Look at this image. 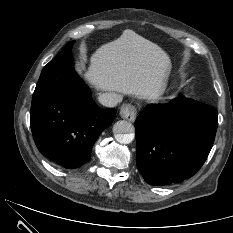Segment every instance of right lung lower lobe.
I'll list each match as a JSON object with an SVG mask.
<instances>
[{
  "label": "right lung lower lobe",
  "mask_w": 233,
  "mask_h": 233,
  "mask_svg": "<svg viewBox=\"0 0 233 233\" xmlns=\"http://www.w3.org/2000/svg\"><path fill=\"white\" fill-rule=\"evenodd\" d=\"M73 64L71 49H63L43 68L30 112L37 148L67 169L90 160L95 141L116 114L96 106Z\"/></svg>",
  "instance_id": "1"
}]
</instances>
